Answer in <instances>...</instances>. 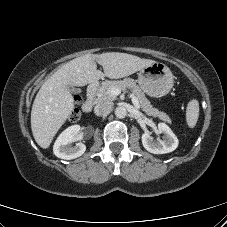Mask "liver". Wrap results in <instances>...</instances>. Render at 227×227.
Segmentation results:
<instances>
[{
    "label": "liver",
    "instance_id": "6515ba94",
    "mask_svg": "<svg viewBox=\"0 0 227 227\" xmlns=\"http://www.w3.org/2000/svg\"><path fill=\"white\" fill-rule=\"evenodd\" d=\"M103 72L97 70V64ZM155 63L154 60L119 52L86 54L57 70L40 88L31 110V129L36 143L48 148L74 109L68 85L82 87L108 77L119 79Z\"/></svg>",
    "mask_w": 227,
    "mask_h": 227
}]
</instances>
